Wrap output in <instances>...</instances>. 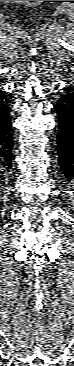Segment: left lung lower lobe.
<instances>
[{
  "label": "left lung lower lobe",
  "mask_w": 74,
  "mask_h": 366,
  "mask_svg": "<svg viewBox=\"0 0 74 366\" xmlns=\"http://www.w3.org/2000/svg\"><path fill=\"white\" fill-rule=\"evenodd\" d=\"M58 114L56 149L62 174L69 180L74 177V86L62 89L55 104Z\"/></svg>",
  "instance_id": "left-lung-lower-lobe-1"
}]
</instances>
